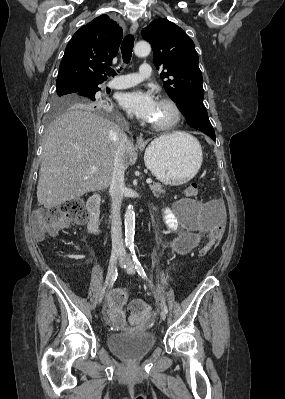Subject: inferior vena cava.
Segmentation results:
<instances>
[{"label": "inferior vena cava", "instance_id": "inferior-vena-cava-1", "mask_svg": "<svg viewBox=\"0 0 285 399\" xmlns=\"http://www.w3.org/2000/svg\"><path fill=\"white\" fill-rule=\"evenodd\" d=\"M127 136L122 133L119 139V146L116 151L112 179L110 183L109 193L111 196V237L113 252H121L123 250V240L121 232L120 209L124 191V154L127 145Z\"/></svg>", "mask_w": 285, "mask_h": 399}]
</instances>
